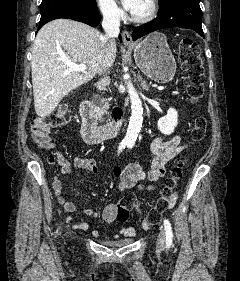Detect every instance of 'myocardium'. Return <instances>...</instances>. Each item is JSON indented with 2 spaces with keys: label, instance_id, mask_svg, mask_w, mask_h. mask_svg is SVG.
I'll return each instance as SVG.
<instances>
[{
  "label": "myocardium",
  "instance_id": "myocardium-1",
  "mask_svg": "<svg viewBox=\"0 0 240 281\" xmlns=\"http://www.w3.org/2000/svg\"><path fill=\"white\" fill-rule=\"evenodd\" d=\"M147 12L142 15H131V21L135 23H147L151 21L157 13V0H147Z\"/></svg>",
  "mask_w": 240,
  "mask_h": 281
}]
</instances>
